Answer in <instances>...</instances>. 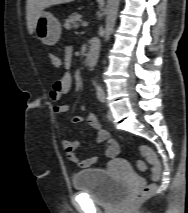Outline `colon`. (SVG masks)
<instances>
[{
	"instance_id": "obj_1",
	"label": "colon",
	"mask_w": 188,
	"mask_h": 213,
	"mask_svg": "<svg viewBox=\"0 0 188 213\" xmlns=\"http://www.w3.org/2000/svg\"><path fill=\"white\" fill-rule=\"evenodd\" d=\"M50 59L54 67H59V61L54 55H50ZM140 153L146 157L148 162L153 166L152 169V178L157 179L161 172V165L156 154L146 145H142L139 148ZM137 168L141 171L146 169V164L143 161L137 162ZM152 192V186L141 185L139 186L131 196L130 203L131 204H139L143 200H145Z\"/></svg>"
}]
</instances>
